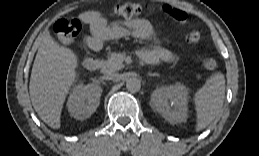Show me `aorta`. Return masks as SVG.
I'll return each mask as SVG.
<instances>
[{
    "instance_id": "1",
    "label": "aorta",
    "mask_w": 259,
    "mask_h": 156,
    "mask_svg": "<svg viewBox=\"0 0 259 156\" xmlns=\"http://www.w3.org/2000/svg\"><path fill=\"white\" fill-rule=\"evenodd\" d=\"M126 88L132 93L138 92L141 88V81L135 77L129 78L126 81Z\"/></svg>"
}]
</instances>
